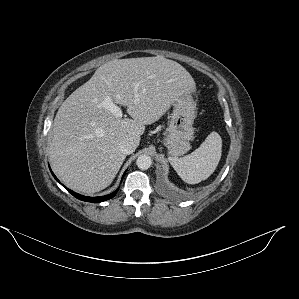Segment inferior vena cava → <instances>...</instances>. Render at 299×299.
Instances as JSON below:
<instances>
[{
    "instance_id": "obj_1",
    "label": "inferior vena cava",
    "mask_w": 299,
    "mask_h": 299,
    "mask_svg": "<svg viewBox=\"0 0 299 299\" xmlns=\"http://www.w3.org/2000/svg\"><path fill=\"white\" fill-rule=\"evenodd\" d=\"M135 149H136V144L131 139L123 140L119 144V150L125 155L132 154L135 151Z\"/></svg>"
}]
</instances>
